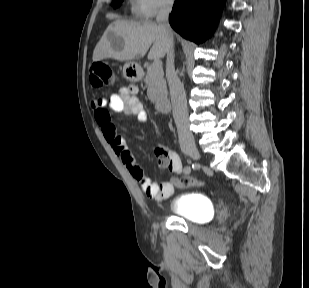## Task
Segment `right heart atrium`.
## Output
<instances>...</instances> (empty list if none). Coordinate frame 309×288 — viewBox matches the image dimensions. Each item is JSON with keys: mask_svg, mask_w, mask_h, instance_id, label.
I'll return each mask as SVG.
<instances>
[{"mask_svg": "<svg viewBox=\"0 0 309 288\" xmlns=\"http://www.w3.org/2000/svg\"><path fill=\"white\" fill-rule=\"evenodd\" d=\"M137 13L143 17L151 18L160 11L170 9L174 0H133Z\"/></svg>", "mask_w": 309, "mask_h": 288, "instance_id": "1", "label": "right heart atrium"}]
</instances>
